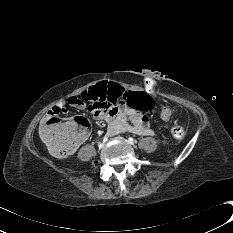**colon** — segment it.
<instances>
[{
	"mask_svg": "<svg viewBox=\"0 0 233 233\" xmlns=\"http://www.w3.org/2000/svg\"><path fill=\"white\" fill-rule=\"evenodd\" d=\"M78 100L85 102L87 105L102 103L114 107L120 103L124 107H133L141 111H147L152 107V101L143 92L128 90L125 85L118 84L113 79L96 83L93 88L80 94ZM58 113L55 112L44 118L40 126V135L54 155L59 158H66L85 139L90 127L86 119L79 117L63 122L58 117ZM173 114L174 109L170 106H164L160 112L163 120L171 118ZM170 133L173 138L179 140L186 136V130L180 125L173 126Z\"/></svg>",
	"mask_w": 233,
	"mask_h": 233,
	"instance_id": "5ec220e1",
	"label": "colon"
}]
</instances>
